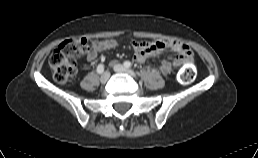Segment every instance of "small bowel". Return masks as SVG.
Here are the masks:
<instances>
[{"label":"small bowel","instance_id":"c3829d8e","mask_svg":"<svg viewBox=\"0 0 258 158\" xmlns=\"http://www.w3.org/2000/svg\"><path fill=\"white\" fill-rule=\"evenodd\" d=\"M131 45L135 52L134 61L137 63H143L166 50L176 52L177 56L173 60L163 59L161 61L159 71L163 75L169 74L174 67L191 62L192 59L190 47L186 43L176 39H160L153 42L132 41ZM117 46L118 43L114 39L102 40L88 51L86 58L89 62H93L97 59L100 51L111 50Z\"/></svg>","mask_w":258,"mask_h":158}]
</instances>
